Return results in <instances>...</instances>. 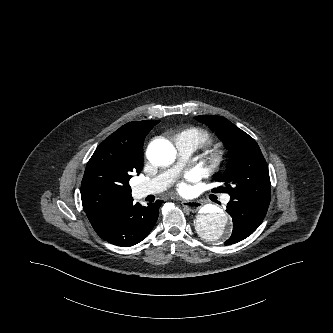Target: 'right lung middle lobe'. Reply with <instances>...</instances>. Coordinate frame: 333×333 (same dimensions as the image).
Returning <instances> with one entry per match:
<instances>
[{
	"label": "right lung middle lobe",
	"instance_id": "1",
	"mask_svg": "<svg viewBox=\"0 0 333 333\" xmlns=\"http://www.w3.org/2000/svg\"><path fill=\"white\" fill-rule=\"evenodd\" d=\"M159 121H156L155 124H157ZM154 125V121H149L148 123V129H147V133H149V131L152 129ZM141 170H138L137 173H139ZM131 178V174H127L125 177H124V186L129 188L130 189V186H129V180Z\"/></svg>",
	"mask_w": 333,
	"mask_h": 333
}]
</instances>
